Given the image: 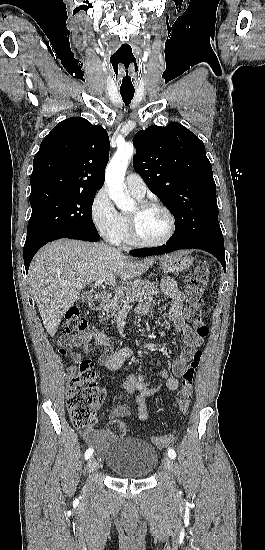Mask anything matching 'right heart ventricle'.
<instances>
[{"instance_id": "obj_1", "label": "right heart ventricle", "mask_w": 265, "mask_h": 550, "mask_svg": "<svg viewBox=\"0 0 265 550\" xmlns=\"http://www.w3.org/2000/svg\"><path fill=\"white\" fill-rule=\"evenodd\" d=\"M136 198H138V197H136ZM138 199H141V198H138ZM120 218H121V222H122V229H121V233H120L118 239L115 242L122 243V244H125V245H131L132 243H131V240H130L129 228H128V214L122 212V213H120Z\"/></svg>"}]
</instances>
